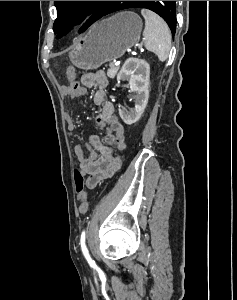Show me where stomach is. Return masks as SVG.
Listing matches in <instances>:
<instances>
[{
  "mask_svg": "<svg viewBox=\"0 0 237 300\" xmlns=\"http://www.w3.org/2000/svg\"><path fill=\"white\" fill-rule=\"evenodd\" d=\"M141 31L142 21L131 11L98 21L85 37L75 43L69 55L70 61L83 71L98 69L103 63L122 57L138 41Z\"/></svg>",
  "mask_w": 237,
  "mask_h": 300,
  "instance_id": "stomach-1",
  "label": "stomach"
}]
</instances>
